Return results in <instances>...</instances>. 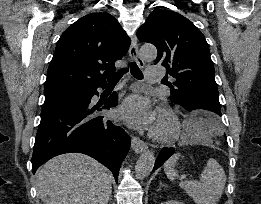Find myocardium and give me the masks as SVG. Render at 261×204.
<instances>
[{
	"mask_svg": "<svg viewBox=\"0 0 261 204\" xmlns=\"http://www.w3.org/2000/svg\"><path fill=\"white\" fill-rule=\"evenodd\" d=\"M157 116L163 117L167 121L168 126L163 131L152 127L149 132L150 137L161 143L171 142L176 139L181 130V123L177 114L171 108L162 106L157 110Z\"/></svg>",
	"mask_w": 261,
	"mask_h": 204,
	"instance_id": "f54148a6",
	"label": "myocardium"
}]
</instances>
